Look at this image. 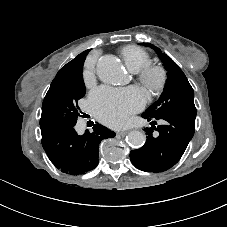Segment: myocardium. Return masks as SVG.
Segmentation results:
<instances>
[{
	"instance_id": "obj_1",
	"label": "myocardium",
	"mask_w": 227,
	"mask_h": 227,
	"mask_svg": "<svg viewBox=\"0 0 227 227\" xmlns=\"http://www.w3.org/2000/svg\"><path fill=\"white\" fill-rule=\"evenodd\" d=\"M138 80L146 87L150 96L159 94L167 82V72L163 66L148 64L137 71Z\"/></svg>"
}]
</instances>
